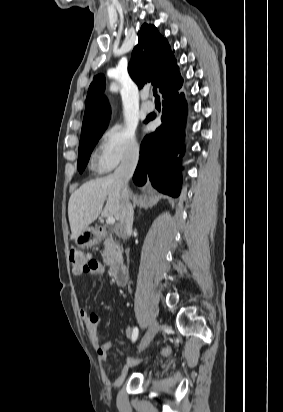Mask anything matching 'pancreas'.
Wrapping results in <instances>:
<instances>
[{
	"mask_svg": "<svg viewBox=\"0 0 283 412\" xmlns=\"http://www.w3.org/2000/svg\"><path fill=\"white\" fill-rule=\"evenodd\" d=\"M103 245V260L106 264L113 265L121 255L120 247L112 238L109 237L105 238Z\"/></svg>",
	"mask_w": 283,
	"mask_h": 412,
	"instance_id": "obj_1",
	"label": "pancreas"
}]
</instances>
